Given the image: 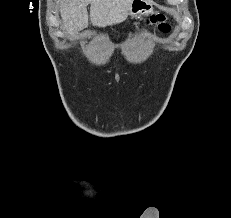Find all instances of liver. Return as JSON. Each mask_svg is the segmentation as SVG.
Masks as SVG:
<instances>
[{
  "label": "liver",
  "mask_w": 231,
  "mask_h": 218,
  "mask_svg": "<svg viewBox=\"0 0 231 218\" xmlns=\"http://www.w3.org/2000/svg\"><path fill=\"white\" fill-rule=\"evenodd\" d=\"M133 0H64L60 5L63 24L70 31L88 26L87 6L93 26L106 27L121 23L128 15Z\"/></svg>",
  "instance_id": "liver-1"
}]
</instances>
